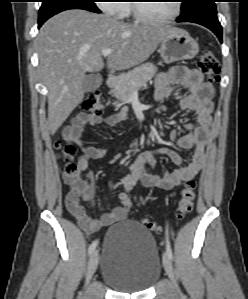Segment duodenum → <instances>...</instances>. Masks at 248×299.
Returning <instances> with one entry per match:
<instances>
[{
    "label": "duodenum",
    "instance_id": "obj_1",
    "mask_svg": "<svg viewBox=\"0 0 248 299\" xmlns=\"http://www.w3.org/2000/svg\"><path fill=\"white\" fill-rule=\"evenodd\" d=\"M106 82L110 89H114L118 84V78L116 76H109Z\"/></svg>",
    "mask_w": 248,
    "mask_h": 299
}]
</instances>
